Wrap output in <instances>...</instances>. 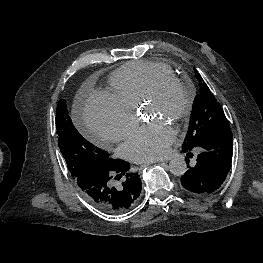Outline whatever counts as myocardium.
<instances>
[{
    "instance_id": "1",
    "label": "myocardium",
    "mask_w": 263,
    "mask_h": 263,
    "mask_svg": "<svg viewBox=\"0 0 263 263\" xmlns=\"http://www.w3.org/2000/svg\"><path fill=\"white\" fill-rule=\"evenodd\" d=\"M171 88L178 89L185 98L183 106L173 117V122L178 123L185 120L190 115L195 103L196 93L189 83L177 78L176 76H163L150 87L141 102L148 103L156 101Z\"/></svg>"
}]
</instances>
